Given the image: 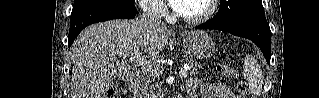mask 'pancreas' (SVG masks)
<instances>
[{"instance_id":"cf45deb5","label":"pancreas","mask_w":319,"mask_h":98,"mask_svg":"<svg viewBox=\"0 0 319 98\" xmlns=\"http://www.w3.org/2000/svg\"><path fill=\"white\" fill-rule=\"evenodd\" d=\"M189 64L191 74H197L198 69L202 68L201 64L195 60H189ZM159 70L160 71L157 74L146 73L142 75L139 90L145 98L152 97V95L158 92V83L156 82V78L162 73V68L160 66Z\"/></svg>"}]
</instances>
